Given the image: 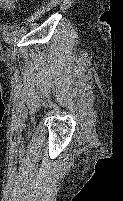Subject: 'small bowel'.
<instances>
[{
  "label": "small bowel",
  "instance_id": "c3829d8e",
  "mask_svg": "<svg viewBox=\"0 0 123 201\" xmlns=\"http://www.w3.org/2000/svg\"><path fill=\"white\" fill-rule=\"evenodd\" d=\"M19 0H0V9L11 10Z\"/></svg>",
  "mask_w": 123,
  "mask_h": 201
}]
</instances>
